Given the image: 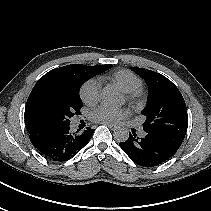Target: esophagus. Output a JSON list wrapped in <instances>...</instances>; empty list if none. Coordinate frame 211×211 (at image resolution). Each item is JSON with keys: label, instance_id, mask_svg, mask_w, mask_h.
<instances>
[{"label": "esophagus", "instance_id": "obj_1", "mask_svg": "<svg viewBox=\"0 0 211 211\" xmlns=\"http://www.w3.org/2000/svg\"><path fill=\"white\" fill-rule=\"evenodd\" d=\"M102 124L106 125L107 127H109V128H110V129H112V130H114V129H116V128H117V126H116V125L111 124V123H102Z\"/></svg>", "mask_w": 211, "mask_h": 211}]
</instances>
